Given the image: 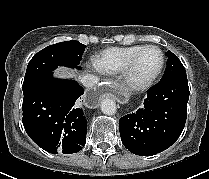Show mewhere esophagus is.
Masks as SVG:
<instances>
[{"label": "esophagus", "instance_id": "esophagus-1", "mask_svg": "<svg viewBox=\"0 0 209 179\" xmlns=\"http://www.w3.org/2000/svg\"><path fill=\"white\" fill-rule=\"evenodd\" d=\"M110 96L116 100L127 102L130 99V94L124 90H119L115 86H110L108 83H99L95 88H91L85 96V103L88 106H95L98 101L105 96Z\"/></svg>", "mask_w": 209, "mask_h": 179}]
</instances>
